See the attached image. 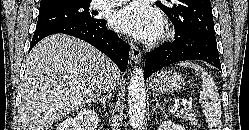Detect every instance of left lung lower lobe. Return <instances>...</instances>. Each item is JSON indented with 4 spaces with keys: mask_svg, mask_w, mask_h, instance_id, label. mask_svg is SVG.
<instances>
[{
    "mask_svg": "<svg viewBox=\"0 0 249 130\" xmlns=\"http://www.w3.org/2000/svg\"><path fill=\"white\" fill-rule=\"evenodd\" d=\"M185 60H203L221 70L215 36L201 32L185 35L175 32L173 42L165 43L146 54L144 78L147 79L167 65Z\"/></svg>",
    "mask_w": 249,
    "mask_h": 130,
    "instance_id": "left-lung-lower-lobe-1",
    "label": "left lung lower lobe"
}]
</instances>
